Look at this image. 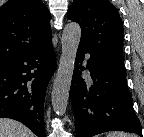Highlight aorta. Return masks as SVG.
Instances as JSON below:
<instances>
[{"mask_svg":"<svg viewBox=\"0 0 144 137\" xmlns=\"http://www.w3.org/2000/svg\"><path fill=\"white\" fill-rule=\"evenodd\" d=\"M80 39L81 28L79 24L75 22L68 23L62 33V53L51 94L53 110L57 115H64L67 109Z\"/></svg>","mask_w":144,"mask_h":137,"instance_id":"aorta-1","label":"aorta"}]
</instances>
